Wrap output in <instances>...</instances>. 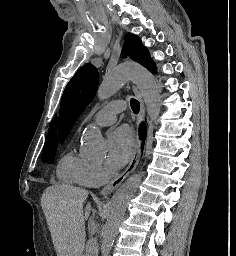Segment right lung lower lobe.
Returning a JSON list of instances; mask_svg holds the SVG:
<instances>
[{
  "mask_svg": "<svg viewBox=\"0 0 236 256\" xmlns=\"http://www.w3.org/2000/svg\"><path fill=\"white\" fill-rule=\"evenodd\" d=\"M139 135H140V138H141V139L143 140V142H144L145 137H146V127H145V124H144V123H142V124L140 125ZM142 146H143V144H142Z\"/></svg>",
  "mask_w": 236,
  "mask_h": 256,
  "instance_id": "1",
  "label": "right lung lower lobe"
}]
</instances>
